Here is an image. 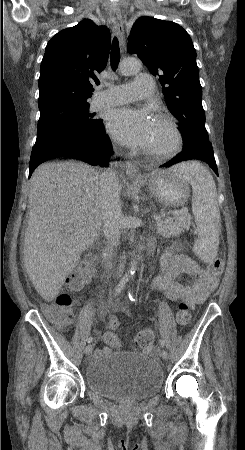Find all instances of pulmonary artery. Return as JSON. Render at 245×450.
<instances>
[{
	"label": "pulmonary artery",
	"instance_id": "1",
	"mask_svg": "<svg viewBox=\"0 0 245 450\" xmlns=\"http://www.w3.org/2000/svg\"><path fill=\"white\" fill-rule=\"evenodd\" d=\"M154 93V79L148 74H143L134 80L119 85H111L106 90L96 94V105L112 106L128 103L143 97H149Z\"/></svg>",
	"mask_w": 245,
	"mask_h": 450
}]
</instances>
